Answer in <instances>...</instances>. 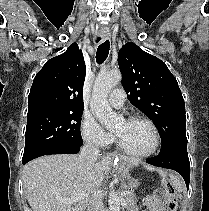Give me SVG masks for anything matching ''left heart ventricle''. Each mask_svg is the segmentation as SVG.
Segmentation results:
<instances>
[{
  "label": "left heart ventricle",
  "mask_w": 209,
  "mask_h": 211,
  "mask_svg": "<svg viewBox=\"0 0 209 211\" xmlns=\"http://www.w3.org/2000/svg\"><path fill=\"white\" fill-rule=\"evenodd\" d=\"M121 144L129 151L141 153L148 151L153 144L150 127L140 121H121L114 129Z\"/></svg>",
  "instance_id": "left-heart-ventricle-1"
}]
</instances>
